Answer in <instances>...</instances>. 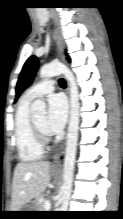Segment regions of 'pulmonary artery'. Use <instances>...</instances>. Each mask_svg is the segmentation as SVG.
<instances>
[{"mask_svg":"<svg viewBox=\"0 0 123 219\" xmlns=\"http://www.w3.org/2000/svg\"><path fill=\"white\" fill-rule=\"evenodd\" d=\"M55 89V83L52 80H45L42 82H39L35 85H33L31 88H29L23 98L25 100L31 101L37 97H41L47 94H50Z\"/></svg>","mask_w":123,"mask_h":219,"instance_id":"e3ab8cb5","label":"pulmonary artery"}]
</instances>
